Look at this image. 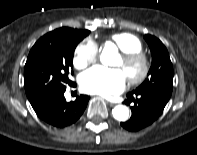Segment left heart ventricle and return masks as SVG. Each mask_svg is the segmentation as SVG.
Listing matches in <instances>:
<instances>
[{
  "instance_id": "1",
  "label": "left heart ventricle",
  "mask_w": 197,
  "mask_h": 155,
  "mask_svg": "<svg viewBox=\"0 0 197 155\" xmlns=\"http://www.w3.org/2000/svg\"><path fill=\"white\" fill-rule=\"evenodd\" d=\"M114 66L119 68L123 72L125 77L135 75L139 72V66L137 64L124 65L121 56L117 58Z\"/></svg>"
}]
</instances>
